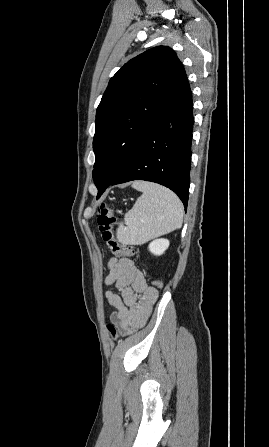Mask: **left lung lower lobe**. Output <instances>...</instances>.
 Wrapping results in <instances>:
<instances>
[{
  "label": "left lung lower lobe",
  "instance_id": "1",
  "mask_svg": "<svg viewBox=\"0 0 269 447\" xmlns=\"http://www.w3.org/2000/svg\"><path fill=\"white\" fill-rule=\"evenodd\" d=\"M192 93L185 70L178 78L163 116L146 132L120 175L107 187L133 180L156 182L173 190L188 203L193 132Z\"/></svg>",
  "mask_w": 269,
  "mask_h": 447
}]
</instances>
